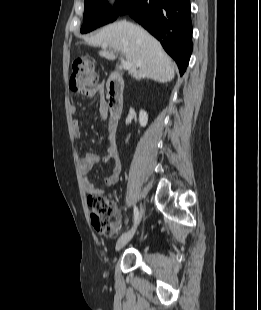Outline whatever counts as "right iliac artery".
Returning <instances> with one entry per match:
<instances>
[{"instance_id":"obj_1","label":"right iliac artery","mask_w":261,"mask_h":310,"mask_svg":"<svg viewBox=\"0 0 261 310\" xmlns=\"http://www.w3.org/2000/svg\"><path fill=\"white\" fill-rule=\"evenodd\" d=\"M138 217H139L138 208L136 206H134V225H136V223L138 221Z\"/></svg>"}]
</instances>
